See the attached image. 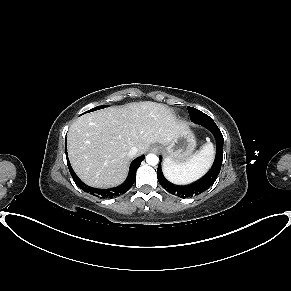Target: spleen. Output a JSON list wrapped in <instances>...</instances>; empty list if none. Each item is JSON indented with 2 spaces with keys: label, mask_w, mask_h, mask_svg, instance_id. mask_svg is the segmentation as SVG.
Wrapping results in <instances>:
<instances>
[{
  "label": "spleen",
  "mask_w": 291,
  "mask_h": 291,
  "mask_svg": "<svg viewBox=\"0 0 291 291\" xmlns=\"http://www.w3.org/2000/svg\"><path fill=\"white\" fill-rule=\"evenodd\" d=\"M214 159V147L207 143L202 149L183 163L165 159L162 171L168 181L175 185L189 184L202 177L211 167Z\"/></svg>",
  "instance_id": "spleen-1"
}]
</instances>
